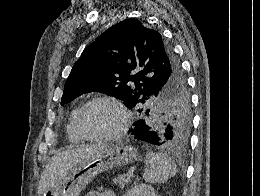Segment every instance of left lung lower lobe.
I'll list each match as a JSON object with an SVG mask.
<instances>
[{
    "mask_svg": "<svg viewBox=\"0 0 260 196\" xmlns=\"http://www.w3.org/2000/svg\"><path fill=\"white\" fill-rule=\"evenodd\" d=\"M134 129L128 131L130 135L138 140H142L154 145H160V136L158 133L151 130L149 124L144 120H138L133 123Z\"/></svg>",
    "mask_w": 260,
    "mask_h": 196,
    "instance_id": "1",
    "label": "left lung lower lobe"
}]
</instances>
